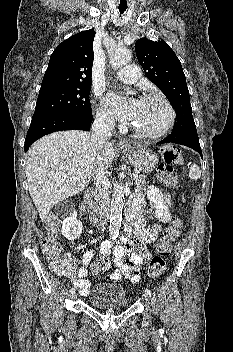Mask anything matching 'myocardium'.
<instances>
[{"mask_svg":"<svg viewBox=\"0 0 233 352\" xmlns=\"http://www.w3.org/2000/svg\"><path fill=\"white\" fill-rule=\"evenodd\" d=\"M148 99H158L160 100L167 108L169 112V118L166 122V124L158 131L155 132H145L142 130H139L138 128L132 126V130L134 131L135 134L140 136L141 138L144 139H157L162 136H164L174 125L175 120H176V112L171 104V102L161 93L158 92H150L146 93L141 97V100H148Z\"/></svg>","mask_w":233,"mask_h":352,"instance_id":"myocardium-1","label":"myocardium"}]
</instances>
